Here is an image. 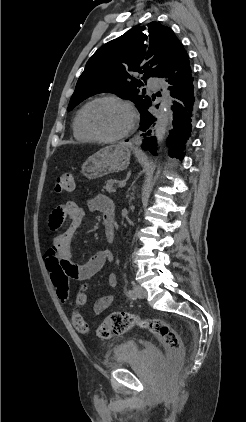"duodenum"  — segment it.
I'll list each match as a JSON object with an SVG mask.
<instances>
[{
  "mask_svg": "<svg viewBox=\"0 0 246 422\" xmlns=\"http://www.w3.org/2000/svg\"><path fill=\"white\" fill-rule=\"evenodd\" d=\"M104 228H105V235H106L107 240L109 242H113L115 238L113 222L110 220L105 221Z\"/></svg>",
  "mask_w": 246,
  "mask_h": 422,
  "instance_id": "obj_1",
  "label": "duodenum"
}]
</instances>
